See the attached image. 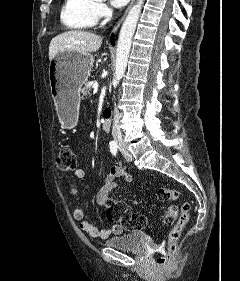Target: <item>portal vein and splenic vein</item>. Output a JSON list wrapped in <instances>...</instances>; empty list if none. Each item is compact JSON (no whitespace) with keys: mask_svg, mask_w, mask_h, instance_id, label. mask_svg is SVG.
I'll return each mask as SVG.
<instances>
[{"mask_svg":"<svg viewBox=\"0 0 240 281\" xmlns=\"http://www.w3.org/2000/svg\"><path fill=\"white\" fill-rule=\"evenodd\" d=\"M97 91H98V84L95 83V84H93V92L97 93Z\"/></svg>","mask_w":240,"mask_h":281,"instance_id":"1","label":"portal vein and splenic vein"}]
</instances>
